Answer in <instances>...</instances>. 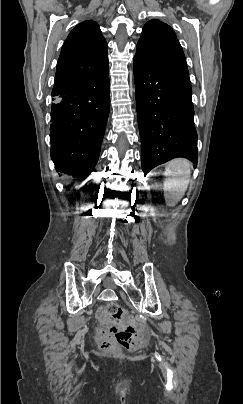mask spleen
Listing matches in <instances>:
<instances>
[{
  "label": "spleen",
  "mask_w": 243,
  "mask_h": 404,
  "mask_svg": "<svg viewBox=\"0 0 243 404\" xmlns=\"http://www.w3.org/2000/svg\"><path fill=\"white\" fill-rule=\"evenodd\" d=\"M190 164L188 160L184 158H176L172 160L166 166L164 172V192H178V194H184L188 188L190 180Z\"/></svg>",
  "instance_id": "3e777b00"
}]
</instances>
